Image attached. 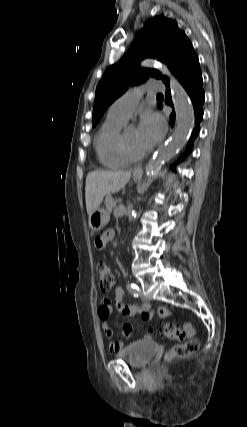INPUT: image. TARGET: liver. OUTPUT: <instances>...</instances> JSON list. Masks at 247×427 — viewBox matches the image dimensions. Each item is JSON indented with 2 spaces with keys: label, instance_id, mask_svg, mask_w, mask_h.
Instances as JSON below:
<instances>
[{
  "label": "liver",
  "instance_id": "6515ba94",
  "mask_svg": "<svg viewBox=\"0 0 247 427\" xmlns=\"http://www.w3.org/2000/svg\"><path fill=\"white\" fill-rule=\"evenodd\" d=\"M130 171L94 170L87 174L85 185L86 209L90 216L106 194L117 192L130 180Z\"/></svg>",
  "mask_w": 247,
  "mask_h": 427
}]
</instances>
